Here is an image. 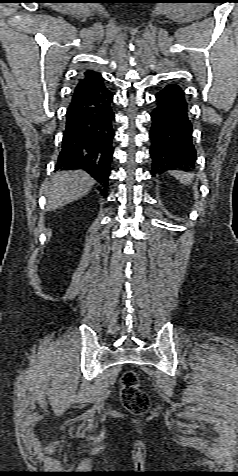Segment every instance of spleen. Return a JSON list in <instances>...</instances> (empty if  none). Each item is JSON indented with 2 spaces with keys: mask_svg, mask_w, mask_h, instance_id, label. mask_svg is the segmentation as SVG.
Wrapping results in <instances>:
<instances>
[{
  "mask_svg": "<svg viewBox=\"0 0 238 476\" xmlns=\"http://www.w3.org/2000/svg\"><path fill=\"white\" fill-rule=\"evenodd\" d=\"M173 177L179 180L182 184L189 185L194 177V174L183 172V171H171Z\"/></svg>",
  "mask_w": 238,
  "mask_h": 476,
  "instance_id": "3e777b00",
  "label": "spleen"
}]
</instances>
